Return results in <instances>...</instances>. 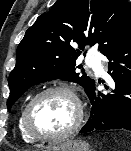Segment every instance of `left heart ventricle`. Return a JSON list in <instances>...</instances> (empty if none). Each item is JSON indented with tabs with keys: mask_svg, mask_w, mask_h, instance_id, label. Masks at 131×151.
Masks as SVG:
<instances>
[{
	"mask_svg": "<svg viewBox=\"0 0 131 151\" xmlns=\"http://www.w3.org/2000/svg\"><path fill=\"white\" fill-rule=\"evenodd\" d=\"M74 117L73 102L63 94L54 93L42 97L35 103L29 123L36 134L52 136L65 131L72 124Z\"/></svg>",
	"mask_w": 131,
	"mask_h": 151,
	"instance_id": "1",
	"label": "left heart ventricle"
}]
</instances>
